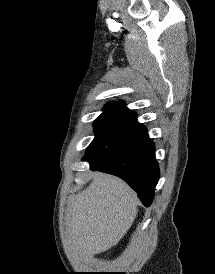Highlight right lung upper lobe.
I'll return each mask as SVG.
<instances>
[{
    "label": "right lung upper lobe",
    "instance_id": "1",
    "mask_svg": "<svg viewBox=\"0 0 215 274\" xmlns=\"http://www.w3.org/2000/svg\"><path fill=\"white\" fill-rule=\"evenodd\" d=\"M109 104H117V105H121V106L125 107V104L122 102H111Z\"/></svg>",
    "mask_w": 215,
    "mask_h": 274
}]
</instances>
